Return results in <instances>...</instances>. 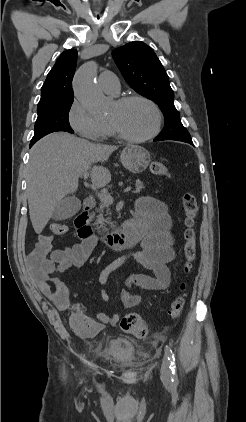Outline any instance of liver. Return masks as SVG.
<instances>
[{
	"mask_svg": "<svg viewBox=\"0 0 246 422\" xmlns=\"http://www.w3.org/2000/svg\"><path fill=\"white\" fill-rule=\"evenodd\" d=\"M116 146L90 143L57 132L39 140L30 150L27 168V198L34 231L40 234L58 203L78 188L79 178L90 170L92 184L101 188L111 180L104 163ZM93 165V166H92Z\"/></svg>",
	"mask_w": 246,
	"mask_h": 422,
	"instance_id": "6515ba94",
	"label": "liver"
}]
</instances>
